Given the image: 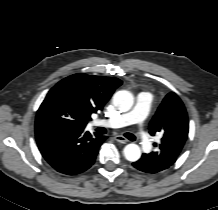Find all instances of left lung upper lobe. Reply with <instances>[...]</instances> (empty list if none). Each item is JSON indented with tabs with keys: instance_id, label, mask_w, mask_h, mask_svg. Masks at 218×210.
Returning a JSON list of instances; mask_svg holds the SVG:
<instances>
[{
	"instance_id": "obj_1",
	"label": "left lung upper lobe",
	"mask_w": 218,
	"mask_h": 210,
	"mask_svg": "<svg viewBox=\"0 0 218 210\" xmlns=\"http://www.w3.org/2000/svg\"><path fill=\"white\" fill-rule=\"evenodd\" d=\"M188 124L187 112L182 101L175 93L170 92L150 122V134L162 135L156 154L172 157L176 161L187 140Z\"/></svg>"
}]
</instances>
